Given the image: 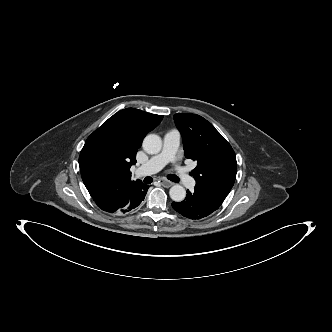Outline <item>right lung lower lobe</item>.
Here are the masks:
<instances>
[{"mask_svg":"<svg viewBox=\"0 0 332 332\" xmlns=\"http://www.w3.org/2000/svg\"><path fill=\"white\" fill-rule=\"evenodd\" d=\"M149 186L141 181L117 192L103 195L95 202L97 206L109 213H126L139 206L144 200Z\"/></svg>","mask_w":332,"mask_h":332,"instance_id":"1","label":"right lung lower lobe"}]
</instances>
